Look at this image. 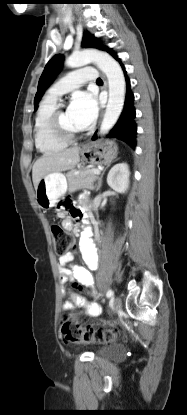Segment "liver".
Listing matches in <instances>:
<instances>
[{
    "label": "liver",
    "mask_w": 187,
    "mask_h": 415,
    "mask_svg": "<svg viewBox=\"0 0 187 415\" xmlns=\"http://www.w3.org/2000/svg\"><path fill=\"white\" fill-rule=\"evenodd\" d=\"M79 151L80 148L72 147L63 151L44 154L37 159L32 169V180L35 189L44 176L73 169L80 161Z\"/></svg>",
    "instance_id": "1"
}]
</instances>
